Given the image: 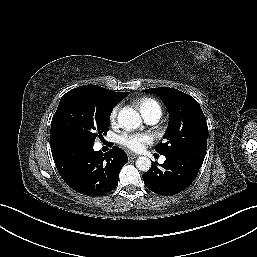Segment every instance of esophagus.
I'll return each instance as SVG.
<instances>
[{"label":"esophagus","instance_id":"34e87169","mask_svg":"<svg viewBox=\"0 0 257 257\" xmlns=\"http://www.w3.org/2000/svg\"><path fill=\"white\" fill-rule=\"evenodd\" d=\"M127 155H128V158H129V159H135V158L138 157V155H136V154H134V153H131V152H129Z\"/></svg>","mask_w":257,"mask_h":257}]
</instances>
